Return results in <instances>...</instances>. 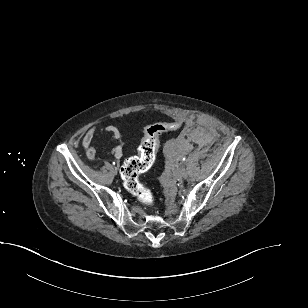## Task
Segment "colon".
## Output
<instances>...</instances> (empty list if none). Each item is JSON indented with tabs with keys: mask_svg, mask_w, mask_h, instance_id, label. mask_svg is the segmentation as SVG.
I'll use <instances>...</instances> for the list:
<instances>
[{
	"mask_svg": "<svg viewBox=\"0 0 308 308\" xmlns=\"http://www.w3.org/2000/svg\"><path fill=\"white\" fill-rule=\"evenodd\" d=\"M180 125L178 121H171L147 126L138 148V154L126 160L121 168L125 188L147 207L153 205L154 195L140 182L139 176L152 167L159 147V136L164 132L179 128Z\"/></svg>",
	"mask_w": 308,
	"mask_h": 308,
	"instance_id": "obj_1",
	"label": "colon"
}]
</instances>
